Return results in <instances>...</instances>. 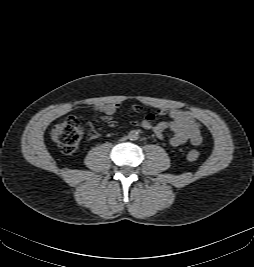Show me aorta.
I'll return each instance as SVG.
<instances>
[{
  "instance_id": "762f6f07",
  "label": "aorta",
  "mask_w": 254,
  "mask_h": 267,
  "mask_svg": "<svg viewBox=\"0 0 254 267\" xmlns=\"http://www.w3.org/2000/svg\"><path fill=\"white\" fill-rule=\"evenodd\" d=\"M128 138L132 141L138 140L139 138V133L136 130H132L128 134Z\"/></svg>"
}]
</instances>
